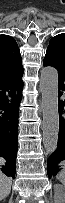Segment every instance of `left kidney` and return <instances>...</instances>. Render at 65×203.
I'll return each mask as SVG.
<instances>
[{
  "label": "left kidney",
  "instance_id": "1",
  "mask_svg": "<svg viewBox=\"0 0 65 203\" xmlns=\"http://www.w3.org/2000/svg\"><path fill=\"white\" fill-rule=\"evenodd\" d=\"M54 203H65V188L60 184L54 185Z\"/></svg>",
  "mask_w": 65,
  "mask_h": 203
}]
</instances>
